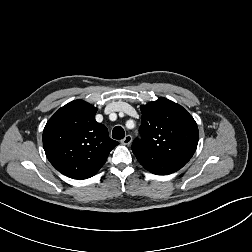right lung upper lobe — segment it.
I'll list each match as a JSON object with an SVG mask.
<instances>
[{
  "label": "right lung upper lobe",
  "instance_id": "cb5924a9",
  "mask_svg": "<svg viewBox=\"0 0 252 252\" xmlns=\"http://www.w3.org/2000/svg\"><path fill=\"white\" fill-rule=\"evenodd\" d=\"M96 112L93 105L75 100L61 107L44 128L45 154L50 163L67 177H92L119 144L109 138L103 124L96 122Z\"/></svg>",
  "mask_w": 252,
  "mask_h": 252
}]
</instances>
